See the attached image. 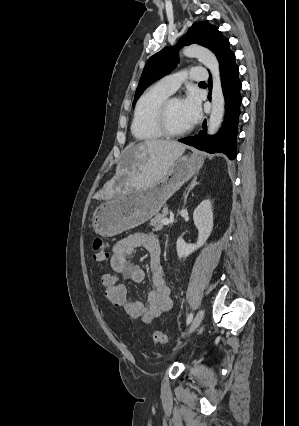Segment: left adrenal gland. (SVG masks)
<instances>
[{"label": "left adrenal gland", "mask_w": 299, "mask_h": 426, "mask_svg": "<svg viewBox=\"0 0 299 426\" xmlns=\"http://www.w3.org/2000/svg\"><path fill=\"white\" fill-rule=\"evenodd\" d=\"M199 183L197 182V177H195L193 180H192V182H191V184L189 185V187H188V189H187V192H185V194H184V204H186V202H187V197H188V195H189V192L196 186V185H198Z\"/></svg>", "instance_id": "obj_1"}]
</instances>
